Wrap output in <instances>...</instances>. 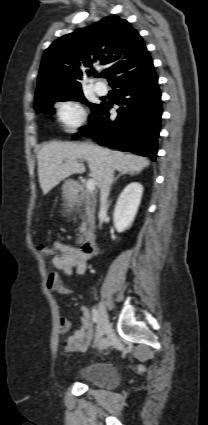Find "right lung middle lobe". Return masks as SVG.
Wrapping results in <instances>:
<instances>
[{"label": "right lung middle lobe", "instance_id": "1", "mask_svg": "<svg viewBox=\"0 0 208 425\" xmlns=\"http://www.w3.org/2000/svg\"><path fill=\"white\" fill-rule=\"evenodd\" d=\"M68 100H74V101H79L82 103H87V105L91 108L92 111L98 106V104L88 103L85 97L83 96L82 90H79V91L69 92V93L55 92V93H50L48 95H45L35 103L34 108L37 112H51V110L53 109L54 102L68 101Z\"/></svg>", "mask_w": 208, "mask_h": 425}]
</instances>
